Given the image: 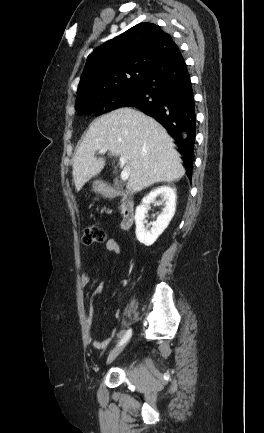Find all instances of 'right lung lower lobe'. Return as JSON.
I'll return each instance as SVG.
<instances>
[{"label": "right lung lower lobe", "instance_id": "1", "mask_svg": "<svg viewBox=\"0 0 264 433\" xmlns=\"http://www.w3.org/2000/svg\"><path fill=\"white\" fill-rule=\"evenodd\" d=\"M140 93L121 107H133L161 123L176 140L191 179L196 135L195 102L190 76L178 50L140 84Z\"/></svg>", "mask_w": 264, "mask_h": 433}]
</instances>
